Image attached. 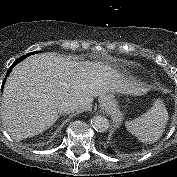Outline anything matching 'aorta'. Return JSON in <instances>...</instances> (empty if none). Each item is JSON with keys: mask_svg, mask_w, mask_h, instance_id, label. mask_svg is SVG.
<instances>
[{"mask_svg": "<svg viewBox=\"0 0 177 177\" xmlns=\"http://www.w3.org/2000/svg\"><path fill=\"white\" fill-rule=\"evenodd\" d=\"M92 127L97 132H106L109 128V121L106 117L96 115L91 120Z\"/></svg>", "mask_w": 177, "mask_h": 177, "instance_id": "1", "label": "aorta"}]
</instances>
